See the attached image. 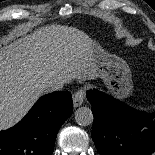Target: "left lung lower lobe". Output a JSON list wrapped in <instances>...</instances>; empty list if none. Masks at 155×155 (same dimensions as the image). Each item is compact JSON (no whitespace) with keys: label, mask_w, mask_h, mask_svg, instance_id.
<instances>
[{"label":"left lung lower lobe","mask_w":155,"mask_h":155,"mask_svg":"<svg viewBox=\"0 0 155 155\" xmlns=\"http://www.w3.org/2000/svg\"><path fill=\"white\" fill-rule=\"evenodd\" d=\"M94 116L92 138L101 155H150L155 151V112L133 109L95 89L87 92Z\"/></svg>","instance_id":"left-lung-lower-lobe-1"}]
</instances>
